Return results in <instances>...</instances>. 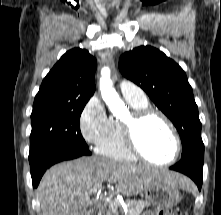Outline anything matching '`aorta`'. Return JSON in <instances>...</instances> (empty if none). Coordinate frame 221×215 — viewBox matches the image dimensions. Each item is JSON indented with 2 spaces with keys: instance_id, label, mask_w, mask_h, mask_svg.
<instances>
[{
  "instance_id": "obj_1",
  "label": "aorta",
  "mask_w": 221,
  "mask_h": 215,
  "mask_svg": "<svg viewBox=\"0 0 221 215\" xmlns=\"http://www.w3.org/2000/svg\"><path fill=\"white\" fill-rule=\"evenodd\" d=\"M99 86L102 99L113 114H117L125 109L123 101L120 99L118 93L113 88V82L110 78V69L108 67H104L101 70Z\"/></svg>"
}]
</instances>
